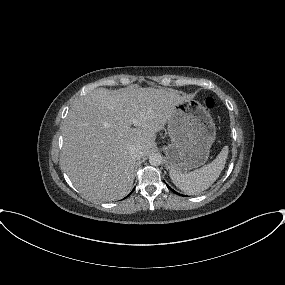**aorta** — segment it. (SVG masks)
<instances>
[{"label": "aorta", "instance_id": "1", "mask_svg": "<svg viewBox=\"0 0 285 285\" xmlns=\"http://www.w3.org/2000/svg\"><path fill=\"white\" fill-rule=\"evenodd\" d=\"M149 163L152 166H159L162 163V156L158 153H153L149 156Z\"/></svg>", "mask_w": 285, "mask_h": 285}]
</instances>
